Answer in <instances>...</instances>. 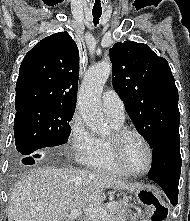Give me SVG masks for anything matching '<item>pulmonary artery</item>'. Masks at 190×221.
Wrapping results in <instances>:
<instances>
[{"instance_id": "pulmonary-artery-1", "label": "pulmonary artery", "mask_w": 190, "mask_h": 221, "mask_svg": "<svg viewBox=\"0 0 190 221\" xmlns=\"http://www.w3.org/2000/svg\"><path fill=\"white\" fill-rule=\"evenodd\" d=\"M102 107L106 116L115 122L123 123L125 120V108L120 96L112 89L102 95Z\"/></svg>"}]
</instances>
